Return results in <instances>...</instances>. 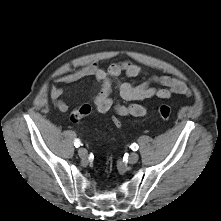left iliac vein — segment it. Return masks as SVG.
Segmentation results:
<instances>
[{
	"label": "left iliac vein",
	"mask_w": 221,
	"mask_h": 221,
	"mask_svg": "<svg viewBox=\"0 0 221 221\" xmlns=\"http://www.w3.org/2000/svg\"><path fill=\"white\" fill-rule=\"evenodd\" d=\"M139 159V155L135 152L131 153V155L129 156L128 162L130 164H135Z\"/></svg>",
	"instance_id": "1"
}]
</instances>
